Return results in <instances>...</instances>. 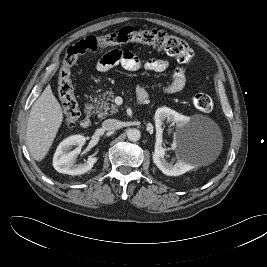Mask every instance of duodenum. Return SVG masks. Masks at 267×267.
Wrapping results in <instances>:
<instances>
[{
	"label": "duodenum",
	"instance_id": "1",
	"mask_svg": "<svg viewBox=\"0 0 267 267\" xmlns=\"http://www.w3.org/2000/svg\"><path fill=\"white\" fill-rule=\"evenodd\" d=\"M138 98V97H137ZM140 103H144L147 100V96L146 95H142L141 97L138 98ZM87 110H91V105H88ZM81 127L83 128H88L91 124V117L89 115L85 116L82 120H81Z\"/></svg>",
	"mask_w": 267,
	"mask_h": 267
}]
</instances>
